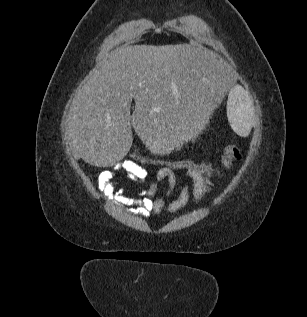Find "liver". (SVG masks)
I'll list each match as a JSON object with an SVG mask.
<instances>
[{"label": "liver", "instance_id": "liver-1", "mask_svg": "<svg viewBox=\"0 0 307 317\" xmlns=\"http://www.w3.org/2000/svg\"><path fill=\"white\" fill-rule=\"evenodd\" d=\"M220 59L186 44L117 51L90 72L73 99L66 136L74 157L97 167L115 164L131 147V127L153 151L149 159L176 153L178 142L204 126L205 113L213 115L228 99L232 81ZM208 140L201 149L219 137Z\"/></svg>", "mask_w": 307, "mask_h": 317}]
</instances>
